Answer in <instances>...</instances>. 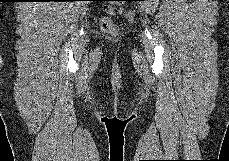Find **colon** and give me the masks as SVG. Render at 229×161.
<instances>
[{
  "label": "colon",
  "mask_w": 229,
  "mask_h": 161,
  "mask_svg": "<svg viewBox=\"0 0 229 161\" xmlns=\"http://www.w3.org/2000/svg\"><path fill=\"white\" fill-rule=\"evenodd\" d=\"M114 5H108L106 7V12L108 15L102 17L100 19V27L101 29L110 35H117L119 33V28L116 23L112 20L110 14L114 11Z\"/></svg>",
  "instance_id": "5ec220e1"
}]
</instances>
